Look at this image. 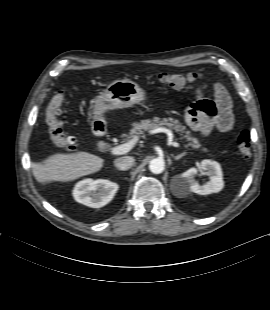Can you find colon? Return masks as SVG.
<instances>
[{"label":"colon","mask_w":270,"mask_h":310,"mask_svg":"<svg viewBox=\"0 0 270 310\" xmlns=\"http://www.w3.org/2000/svg\"><path fill=\"white\" fill-rule=\"evenodd\" d=\"M157 80L174 89H180L190 86L194 83L205 80V77L199 73H189L187 75L161 73ZM65 93L58 91L54 94L46 108L45 120L48 126L49 134L53 142L69 153L77 150V142L74 137L68 136L63 130V122L58 118L62 113ZM202 112L215 113V105L209 100H203L198 104ZM236 144L239 153L245 159L251 154V136L248 131H241L236 137Z\"/></svg>","instance_id":"1"}]
</instances>
